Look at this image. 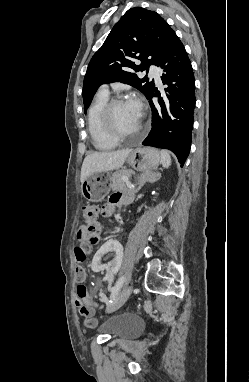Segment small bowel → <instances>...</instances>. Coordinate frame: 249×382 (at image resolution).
<instances>
[{"label":"small bowel","mask_w":249,"mask_h":382,"mask_svg":"<svg viewBox=\"0 0 249 382\" xmlns=\"http://www.w3.org/2000/svg\"><path fill=\"white\" fill-rule=\"evenodd\" d=\"M130 201V195L127 192L123 191H117L114 192L110 198L108 203L104 206L103 212L106 215H110L113 213L114 209L119 206L126 204ZM99 231L100 227L97 224H93L91 226H81L76 234L77 237V248H89L92 244L93 246L99 245ZM92 268V267H91ZM78 282V281H77ZM79 283V282H78ZM76 305H81V314L86 318L85 319V325L87 327H93L95 325V319L93 318L95 310L94 307H96L98 304L96 301L91 300L89 297L82 298H76L75 301ZM88 308L90 309L87 314H83L82 311H87Z\"/></svg>","instance_id":"obj_1"}]
</instances>
